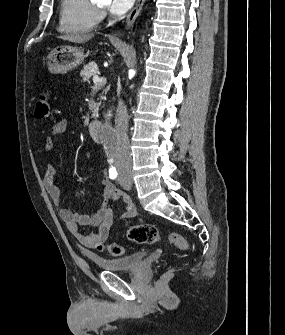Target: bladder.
Instances as JSON below:
<instances>
[{"label": "bladder", "instance_id": "obj_1", "mask_svg": "<svg viewBox=\"0 0 285 335\" xmlns=\"http://www.w3.org/2000/svg\"><path fill=\"white\" fill-rule=\"evenodd\" d=\"M146 252L138 250L124 257L92 258V265H99L105 272L131 273L144 264Z\"/></svg>", "mask_w": 285, "mask_h": 335}]
</instances>
